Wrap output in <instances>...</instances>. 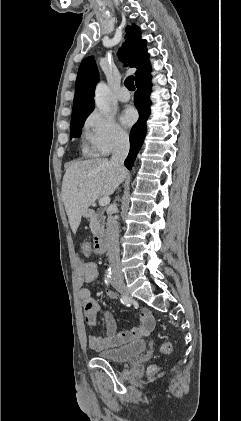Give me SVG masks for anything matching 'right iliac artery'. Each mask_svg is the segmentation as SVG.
Returning a JSON list of instances; mask_svg holds the SVG:
<instances>
[{
  "label": "right iliac artery",
  "mask_w": 241,
  "mask_h": 421,
  "mask_svg": "<svg viewBox=\"0 0 241 421\" xmlns=\"http://www.w3.org/2000/svg\"><path fill=\"white\" fill-rule=\"evenodd\" d=\"M110 279H111V272H110V270L106 273V275H105V284L106 285H109V283H110ZM120 301H121V303L122 304H124V305H126V306H130L131 305V300H130V298H128L127 296H121V299H120Z\"/></svg>",
  "instance_id": "1"
}]
</instances>
